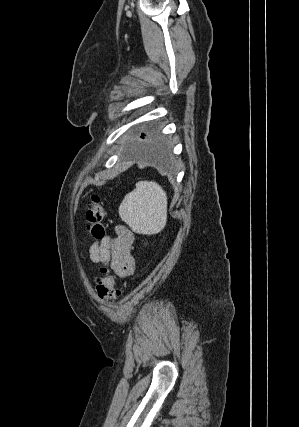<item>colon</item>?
Here are the masks:
<instances>
[{
  "mask_svg": "<svg viewBox=\"0 0 299 427\" xmlns=\"http://www.w3.org/2000/svg\"><path fill=\"white\" fill-rule=\"evenodd\" d=\"M104 216L105 212L99 196L92 195L86 207V230L91 239L100 240L105 236ZM101 272L102 276L96 284L97 294L101 299L114 301L121 295V288L107 267L103 266Z\"/></svg>",
  "mask_w": 299,
  "mask_h": 427,
  "instance_id": "1",
  "label": "colon"
}]
</instances>
